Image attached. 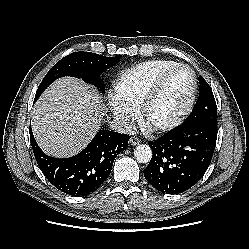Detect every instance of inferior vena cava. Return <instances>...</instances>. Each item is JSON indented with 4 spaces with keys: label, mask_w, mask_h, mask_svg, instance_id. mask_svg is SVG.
Segmentation results:
<instances>
[{
    "label": "inferior vena cava",
    "mask_w": 249,
    "mask_h": 249,
    "mask_svg": "<svg viewBox=\"0 0 249 249\" xmlns=\"http://www.w3.org/2000/svg\"><path fill=\"white\" fill-rule=\"evenodd\" d=\"M111 129L122 134L131 135L135 132V126L132 123L123 120H113L111 122Z\"/></svg>",
    "instance_id": "602c4592"
}]
</instances>
